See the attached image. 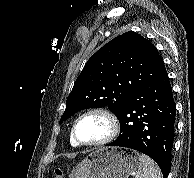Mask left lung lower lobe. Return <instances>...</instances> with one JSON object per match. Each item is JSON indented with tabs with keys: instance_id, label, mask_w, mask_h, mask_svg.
I'll use <instances>...</instances> for the list:
<instances>
[{
	"instance_id": "0a47b994",
	"label": "left lung lower lobe",
	"mask_w": 194,
	"mask_h": 178,
	"mask_svg": "<svg viewBox=\"0 0 194 178\" xmlns=\"http://www.w3.org/2000/svg\"><path fill=\"white\" fill-rule=\"evenodd\" d=\"M115 115L121 133L108 146L130 148L148 155L159 165L163 178H167L176 119V104L167 71L129 95Z\"/></svg>"
}]
</instances>
